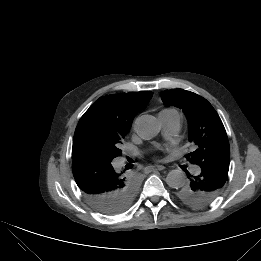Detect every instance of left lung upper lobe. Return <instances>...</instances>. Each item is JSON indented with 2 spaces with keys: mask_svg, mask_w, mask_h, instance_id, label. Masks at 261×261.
<instances>
[{
  "mask_svg": "<svg viewBox=\"0 0 261 261\" xmlns=\"http://www.w3.org/2000/svg\"><path fill=\"white\" fill-rule=\"evenodd\" d=\"M162 101L181 108L189 122V141L196 150L188 154L189 162L201 165L205 162L230 163V148L223 123L203 97L183 89L165 90ZM177 197L193 208H203L215 198H206L203 193L193 191L188 184L177 191Z\"/></svg>",
  "mask_w": 261,
  "mask_h": 261,
  "instance_id": "left-lung-upper-lobe-1",
  "label": "left lung upper lobe"
}]
</instances>
